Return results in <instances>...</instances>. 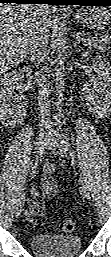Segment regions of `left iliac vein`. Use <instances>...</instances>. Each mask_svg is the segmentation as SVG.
<instances>
[{
    "mask_svg": "<svg viewBox=\"0 0 111 257\" xmlns=\"http://www.w3.org/2000/svg\"><path fill=\"white\" fill-rule=\"evenodd\" d=\"M48 145L51 150L61 155H70V149L66 147L64 143V139H62L60 136H56L55 138H49ZM80 182H81V189L84 196L90 199V191H89L88 185L86 184L85 180L82 177L80 178Z\"/></svg>",
    "mask_w": 111,
    "mask_h": 257,
    "instance_id": "left-iliac-vein-1",
    "label": "left iliac vein"
}]
</instances>
